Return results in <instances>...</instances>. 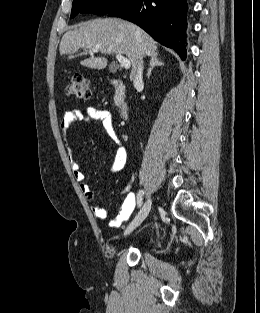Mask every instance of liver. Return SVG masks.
<instances>
[{"label":"liver","instance_id":"liver-1","mask_svg":"<svg viewBox=\"0 0 260 313\" xmlns=\"http://www.w3.org/2000/svg\"><path fill=\"white\" fill-rule=\"evenodd\" d=\"M97 48L101 54H123L132 64L134 77L138 64L145 56L157 53L156 41L138 26L117 18H98L84 22L78 28L67 31L60 42L61 55L76 53L79 49ZM105 57H90L80 62L82 66L104 69Z\"/></svg>","mask_w":260,"mask_h":313}]
</instances>
